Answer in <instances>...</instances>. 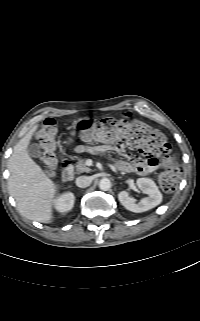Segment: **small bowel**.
Wrapping results in <instances>:
<instances>
[{
    "instance_id": "obj_1",
    "label": "small bowel",
    "mask_w": 200,
    "mask_h": 321,
    "mask_svg": "<svg viewBox=\"0 0 200 321\" xmlns=\"http://www.w3.org/2000/svg\"><path fill=\"white\" fill-rule=\"evenodd\" d=\"M105 150L114 151L117 155L121 153L126 156L129 161H115L112 164V168L116 171L121 172H133L138 175H147L155 171L159 164V159L156 156H151L149 158H140L139 156L130 154L129 150L125 149L121 145H116L112 143H105L103 145ZM102 147L94 148L95 151L103 150ZM80 151L85 150V147H79Z\"/></svg>"
}]
</instances>
